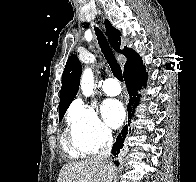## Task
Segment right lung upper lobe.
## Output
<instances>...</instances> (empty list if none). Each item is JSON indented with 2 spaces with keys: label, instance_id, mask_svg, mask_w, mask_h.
<instances>
[{
  "label": "right lung upper lobe",
  "instance_id": "cb5924a9",
  "mask_svg": "<svg viewBox=\"0 0 196 182\" xmlns=\"http://www.w3.org/2000/svg\"><path fill=\"white\" fill-rule=\"evenodd\" d=\"M106 33L109 37L111 46L119 53L123 54L127 58V62L124 65V70L140 59L139 55L133 50L125 47L120 50V31L115 29L108 20H105ZM82 73V67L79 59L76 55L72 54L66 63L63 75H62V88L60 91V103H59V116L65 114L70 103L73 101L77 94L80 76Z\"/></svg>",
  "mask_w": 196,
  "mask_h": 182
}]
</instances>
